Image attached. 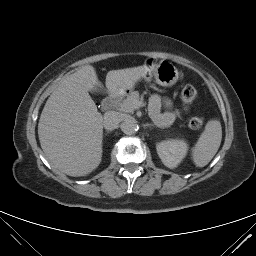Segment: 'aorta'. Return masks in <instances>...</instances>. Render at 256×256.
<instances>
[{"instance_id": "762f6f07", "label": "aorta", "mask_w": 256, "mask_h": 256, "mask_svg": "<svg viewBox=\"0 0 256 256\" xmlns=\"http://www.w3.org/2000/svg\"><path fill=\"white\" fill-rule=\"evenodd\" d=\"M120 128L124 134L132 135L136 132L137 125L132 120H125L121 123Z\"/></svg>"}]
</instances>
